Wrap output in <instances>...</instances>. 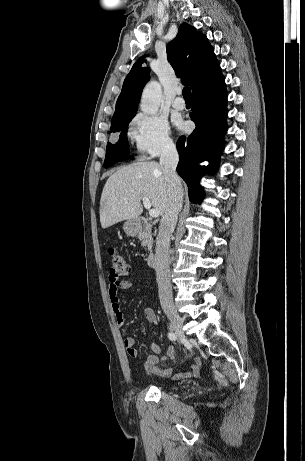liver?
Wrapping results in <instances>:
<instances>
[{
	"mask_svg": "<svg viewBox=\"0 0 305 461\" xmlns=\"http://www.w3.org/2000/svg\"><path fill=\"white\" fill-rule=\"evenodd\" d=\"M169 196L170 190L160 164L150 161L125 166L113 173L103 188L101 226L105 229L124 220L138 219L143 212L142 197H147L162 216L168 207Z\"/></svg>",
	"mask_w": 305,
	"mask_h": 461,
	"instance_id": "obj_1",
	"label": "liver"
}]
</instances>
